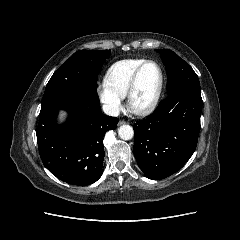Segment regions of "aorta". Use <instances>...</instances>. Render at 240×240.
<instances>
[{"label":"aorta","mask_w":240,"mask_h":240,"mask_svg":"<svg viewBox=\"0 0 240 240\" xmlns=\"http://www.w3.org/2000/svg\"><path fill=\"white\" fill-rule=\"evenodd\" d=\"M118 135L122 140H130L134 136L133 128L130 125H121L118 129Z\"/></svg>","instance_id":"1"}]
</instances>
